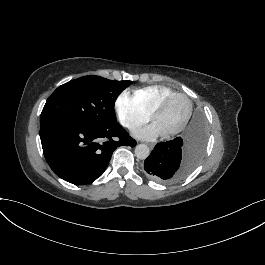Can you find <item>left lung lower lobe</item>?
<instances>
[{
	"instance_id": "1",
	"label": "left lung lower lobe",
	"mask_w": 265,
	"mask_h": 265,
	"mask_svg": "<svg viewBox=\"0 0 265 265\" xmlns=\"http://www.w3.org/2000/svg\"><path fill=\"white\" fill-rule=\"evenodd\" d=\"M207 130L200 112L194 114L182 136L158 143L144 161L149 178L159 183L176 182L188 175L201 160Z\"/></svg>"
}]
</instances>
